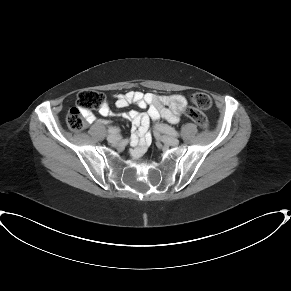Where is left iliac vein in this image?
Segmentation results:
<instances>
[{"label": "left iliac vein", "mask_w": 291, "mask_h": 291, "mask_svg": "<svg viewBox=\"0 0 291 291\" xmlns=\"http://www.w3.org/2000/svg\"><path fill=\"white\" fill-rule=\"evenodd\" d=\"M156 131L162 133V140L171 146H176L179 144V140L171 135L166 134V131L164 130V125H157Z\"/></svg>", "instance_id": "obj_1"}]
</instances>
